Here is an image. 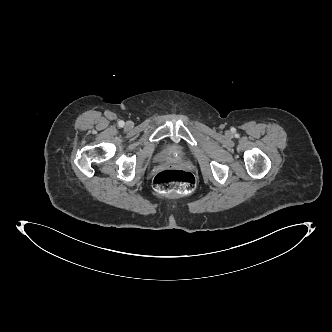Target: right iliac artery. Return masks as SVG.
<instances>
[{
    "label": "right iliac artery",
    "instance_id": "obj_1",
    "mask_svg": "<svg viewBox=\"0 0 332 332\" xmlns=\"http://www.w3.org/2000/svg\"><path fill=\"white\" fill-rule=\"evenodd\" d=\"M124 124H125L124 121H119V122H118V125H119L120 127H123Z\"/></svg>",
    "mask_w": 332,
    "mask_h": 332
}]
</instances>
